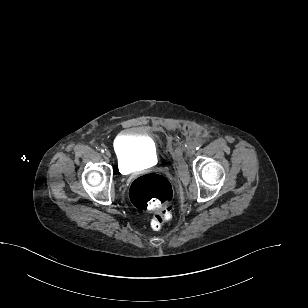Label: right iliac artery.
<instances>
[{"instance_id":"right-iliac-artery-1","label":"right iliac artery","mask_w":308,"mask_h":308,"mask_svg":"<svg viewBox=\"0 0 308 308\" xmlns=\"http://www.w3.org/2000/svg\"><path fill=\"white\" fill-rule=\"evenodd\" d=\"M104 151H106V149L104 150V149H101V152L103 153Z\"/></svg>"}]
</instances>
